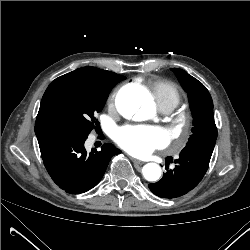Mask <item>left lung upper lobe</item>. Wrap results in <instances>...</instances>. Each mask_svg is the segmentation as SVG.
Wrapping results in <instances>:
<instances>
[{"label": "left lung upper lobe", "mask_w": 250, "mask_h": 250, "mask_svg": "<svg viewBox=\"0 0 250 250\" xmlns=\"http://www.w3.org/2000/svg\"><path fill=\"white\" fill-rule=\"evenodd\" d=\"M183 89L187 92L194 128L187 143L217 139L213 115V101L206 87L182 69L172 68Z\"/></svg>", "instance_id": "1"}]
</instances>
